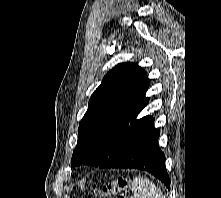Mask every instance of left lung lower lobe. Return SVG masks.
Instances as JSON below:
<instances>
[{"instance_id": "obj_1", "label": "left lung lower lobe", "mask_w": 221, "mask_h": 198, "mask_svg": "<svg viewBox=\"0 0 221 198\" xmlns=\"http://www.w3.org/2000/svg\"><path fill=\"white\" fill-rule=\"evenodd\" d=\"M160 131L150 119L115 150L100 168H135L146 170L170 189L165 167V155L158 146Z\"/></svg>"}]
</instances>
